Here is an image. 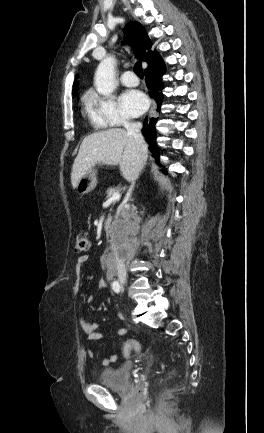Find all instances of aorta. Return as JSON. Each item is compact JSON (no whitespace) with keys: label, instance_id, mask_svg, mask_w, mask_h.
<instances>
[{"label":"aorta","instance_id":"762f6f07","mask_svg":"<svg viewBox=\"0 0 264 433\" xmlns=\"http://www.w3.org/2000/svg\"><path fill=\"white\" fill-rule=\"evenodd\" d=\"M114 57H107L100 62L97 67L95 77H94V85L98 93L108 96L113 92L114 83Z\"/></svg>","mask_w":264,"mask_h":433}]
</instances>
